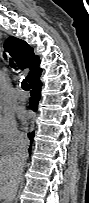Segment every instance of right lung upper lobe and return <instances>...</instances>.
<instances>
[{"label":"right lung upper lobe","instance_id":"right-lung-upper-lobe-1","mask_svg":"<svg viewBox=\"0 0 89 203\" xmlns=\"http://www.w3.org/2000/svg\"><path fill=\"white\" fill-rule=\"evenodd\" d=\"M4 48L13 56L20 69H30L28 82L41 73L40 59L25 41L11 36L6 39Z\"/></svg>","mask_w":89,"mask_h":203}]
</instances>
